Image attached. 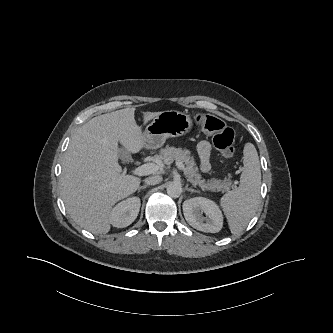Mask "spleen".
I'll return each mask as SVG.
<instances>
[{
    "instance_id": "obj_1",
    "label": "spleen",
    "mask_w": 333,
    "mask_h": 333,
    "mask_svg": "<svg viewBox=\"0 0 333 333\" xmlns=\"http://www.w3.org/2000/svg\"><path fill=\"white\" fill-rule=\"evenodd\" d=\"M243 154L240 185L220 200L232 234L246 228L260 203L261 170L257 150L252 143H247Z\"/></svg>"
}]
</instances>
